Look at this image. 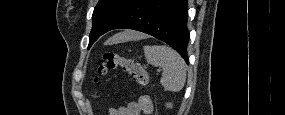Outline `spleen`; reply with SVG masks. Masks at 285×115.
I'll return each instance as SVG.
<instances>
[{"instance_id": "3e777b00", "label": "spleen", "mask_w": 285, "mask_h": 115, "mask_svg": "<svg viewBox=\"0 0 285 115\" xmlns=\"http://www.w3.org/2000/svg\"><path fill=\"white\" fill-rule=\"evenodd\" d=\"M126 39L124 33H119L112 38L113 42ZM144 54L148 63L161 67L163 70L160 80L165 90L179 92L186 82V63L183 58L172 48L164 45H146Z\"/></svg>"}]
</instances>
